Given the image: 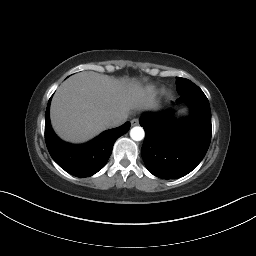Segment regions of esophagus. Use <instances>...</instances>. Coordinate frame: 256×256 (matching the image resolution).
I'll return each mask as SVG.
<instances>
[{
	"instance_id": "34e87169",
	"label": "esophagus",
	"mask_w": 256,
	"mask_h": 256,
	"mask_svg": "<svg viewBox=\"0 0 256 256\" xmlns=\"http://www.w3.org/2000/svg\"><path fill=\"white\" fill-rule=\"evenodd\" d=\"M138 123H139V120L137 118H134V119L131 120V125L132 126H136V125H138Z\"/></svg>"
}]
</instances>
